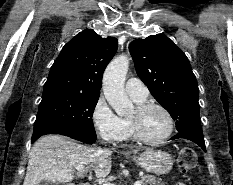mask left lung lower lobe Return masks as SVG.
<instances>
[{"label": "left lung lower lobe", "mask_w": 233, "mask_h": 185, "mask_svg": "<svg viewBox=\"0 0 233 185\" xmlns=\"http://www.w3.org/2000/svg\"><path fill=\"white\" fill-rule=\"evenodd\" d=\"M178 138L189 139L195 142L196 144H198L206 152L205 142L202 134V129L200 126L192 127L184 131H181L172 139H178Z\"/></svg>", "instance_id": "0a47b994"}]
</instances>
